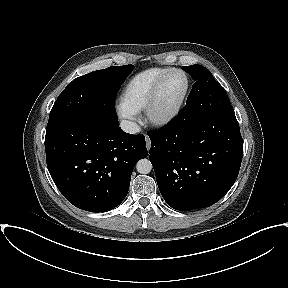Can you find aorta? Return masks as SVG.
<instances>
[{
    "label": "aorta",
    "instance_id": "aorta-1",
    "mask_svg": "<svg viewBox=\"0 0 288 288\" xmlns=\"http://www.w3.org/2000/svg\"><path fill=\"white\" fill-rule=\"evenodd\" d=\"M137 171L141 174H148L152 170V164L148 159H141L136 165Z\"/></svg>",
    "mask_w": 288,
    "mask_h": 288
}]
</instances>
